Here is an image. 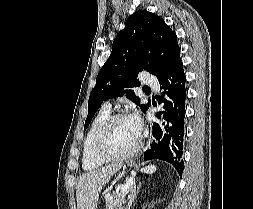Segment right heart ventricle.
I'll use <instances>...</instances> for the list:
<instances>
[{
    "instance_id": "obj_1",
    "label": "right heart ventricle",
    "mask_w": 253,
    "mask_h": 209,
    "mask_svg": "<svg viewBox=\"0 0 253 209\" xmlns=\"http://www.w3.org/2000/svg\"><path fill=\"white\" fill-rule=\"evenodd\" d=\"M109 116L110 107L104 105L91 122V125L86 133L82 151V166L85 170L97 169L104 163V161H101L95 156L94 145L100 127Z\"/></svg>"
}]
</instances>
